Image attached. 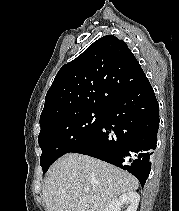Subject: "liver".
I'll list each match as a JSON object with an SVG mask.
<instances>
[{
    "label": "liver",
    "instance_id": "obj_1",
    "mask_svg": "<svg viewBox=\"0 0 179 211\" xmlns=\"http://www.w3.org/2000/svg\"><path fill=\"white\" fill-rule=\"evenodd\" d=\"M138 187L133 175L111 164L68 153L49 168L42 197L46 211H104L117 196Z\"/></svg>",
    "mask_w": 179,
    "mask_h": 211
}]
</instances>
